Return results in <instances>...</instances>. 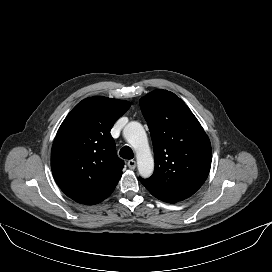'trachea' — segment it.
Segmentation results:
<instances>
[{
  "mask_svg": "<svg viewBox=\"0 0 272 272\" xmlns=\"http://www.w3.org/2000/svg\"><path fill=\"white\" fill-rule=\"evenodd\" d=\"M120 156L124 159H132L133 158V151L129 146H124L120 150Z\"/></svg>",
  "mask_w": 272,
  "mask_h": 272,
  "instance_id": "3493384b",
  "label": "trachea"
}]
</instances>
